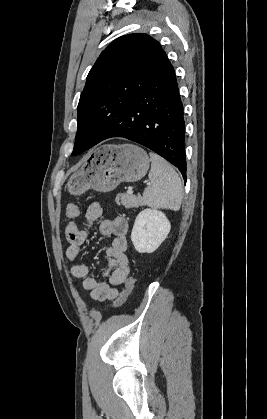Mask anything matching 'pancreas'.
Here are the masks:
<instances>
[{
    "label": "pancreas",
    "mask_w": 267,
    "mask_h": 419,
    "mask_svg": "<svg viewBox=\"0 0 267 419\" xmlns=\"http://www.w3.org/2000/svg\"><path fill=\"white\" fill-rule=\"evenodd\" d=\"M115 202L125 208H138L144 206L143 198L127 193H120L116 196Z\"/></svg>",
    "instance_id": "cf45deb5"
}]
</instances>
